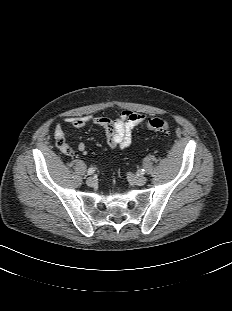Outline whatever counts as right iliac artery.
Segmentation results:
<instances>
[{
	"mask_svg": "<svg viewBox=\"0 0 232 311\" xmlns=\"http://www.w3.org/2000/svg\"><path fill=\"white\" fill-rule=\"evenodd\" d=\"M94 171H95V168L91 167V168L88 169L87 173H88V175H92L94 173Z\"/></svg>",
	"mask_w": 232,
	"mask_h": 311,
	"instance_id": "82829eb1",
	"label": "right iliac artery"
}]
</instances>
